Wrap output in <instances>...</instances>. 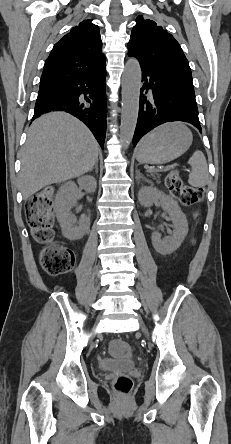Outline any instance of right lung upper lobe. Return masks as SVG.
I'll return each instance as SVG.
<instances>
[{
    "mask_svg": "<svg viewBox=\"0 0 231 444\" xmlns=\"http://www.w3.org/2000/svg\"><path fill=\"white\" fill-rule=\"evenodd\" d=\"M105 70L99 27L84 20L57 42L45 61L40 87Z\"/></svg>",
    "mask_w": 231,
    "mask_h": 444,
    "instance_id": "cb5924a9",
    "label": "right lung upper lobe"
}]
</instances>
